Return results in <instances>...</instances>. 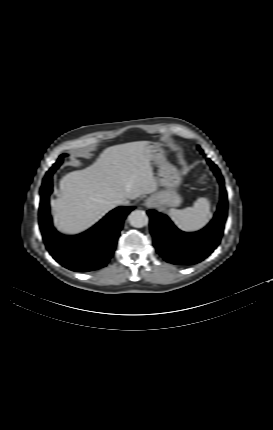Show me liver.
<instances>
[{
  "label": "liver",
  "mask_w": 273,
  "mask_h": 430,
  "mask_svg": "<svg viewBox=\"0 0 273 430\" xmlns=\"http://www.w3.org/2000/svg\"><path fill=\"white\" fill-rule=\"evenodd\" d=\"M150 141L106 148L91 166L68 173L59 198L51 200L56 229L80 234L111 211L121 198L136 199L158 189L149 157Z\"/></svg>",
  "instance_id": "obj_1"
}]
</instances>
